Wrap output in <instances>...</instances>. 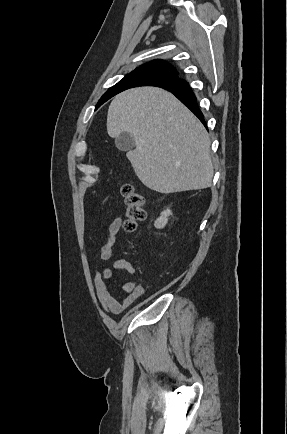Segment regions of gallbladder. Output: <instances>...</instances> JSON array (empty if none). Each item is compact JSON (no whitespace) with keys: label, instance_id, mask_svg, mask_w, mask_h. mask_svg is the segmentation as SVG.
<instances>
[{"label":"gallbladder","instance_id":"obj_1","mask_svg":"<svg viewBox=\"0 0 287 434\" xmlns=\"http://www.w3.org/2000/svg\"><path fill=\"white\" fill-rule=\"evenodd\" d=\"M115 145L120 151H130L135 146L134 138L127 132H122L115 138Z\"/></svg>","mask_w":287,"mask_h":434}]
</instances>
